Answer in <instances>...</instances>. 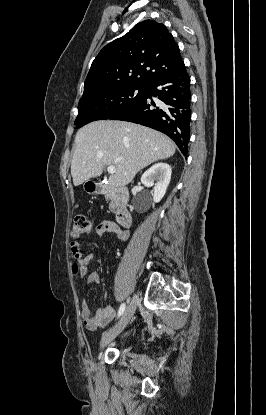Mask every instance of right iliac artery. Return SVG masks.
<instances>
[{
  "mask_svg": "<svg viewBox=\"0 0 266 415\" xmlns=\"http://www.w3.org/2000/svg\"><path fill=\"white\" fill-rule=\"evenodd\" d=\"M125 308H126L125 303L121 304L119 311H118V317H120L124 313Z\"/></svg>",
  "mask_w": 266,
  "mask_h": 415,
  "instance_id": "obj_1",
  "label": "right iliac artery"
}]
</instances>
